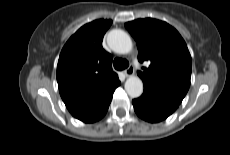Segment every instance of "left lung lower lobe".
Masks as SVG:
<instances>
[{
  "label": "left lung lower lobe",
  "instance_id": "obj_1",
  "mask_svg": "<svg viewBox=\"0 0 230 155\" xmlns=\"http://www.w3.org/2000/svg\"><path fill=\"white\" fill-rule=\"evenodd\" d=\"M136 114L151 123L160 122L170 116L180 103L166 97L162 93L144 86L143 94L132 100Z\"/></svg>",
  "mask_w": 230,
  "mask_h": 155
}]
</instances>
